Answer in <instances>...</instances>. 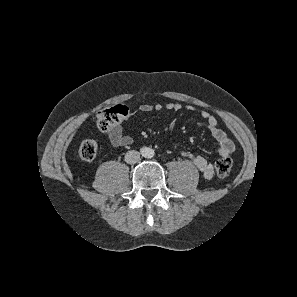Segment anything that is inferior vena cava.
I'll return each mask as SVG.
<instances>
[{"mask_svg": "<svg viewBox=\"0 0 297 297\" xmlns=\"http://www.w3.org/2000/svg\"><path fill=\"white\" fill-rule=\"evenodd\" d=\"M140 160V153L135 150H130L125 155V161L128 164H135Z\"/></svg>", "mask_w": 297, "mask_h": 297, "instance_id": "602c4592", "label": "inferior vena cava"}]
</instances>
